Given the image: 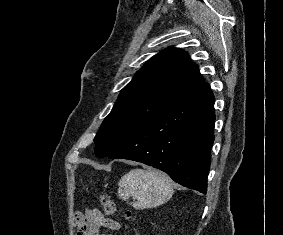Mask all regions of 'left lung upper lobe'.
Instances as JSON below:
<instances>
[{"label":"left lung upper lobe","instance_id":"1","mask_svg":"<svg viewBox=\"0 0 283 235\" xmlns=\"http://www.w3.org/2000/svg\"><path fill=\"white\" fill-rule=\"evenodd\" d=\"M205 84L187 53L169 48L153 56L121 91L95 136L107 157L148 123Z\"/></svg>","mask_w":283,"mask_h":235}]
</instances>
